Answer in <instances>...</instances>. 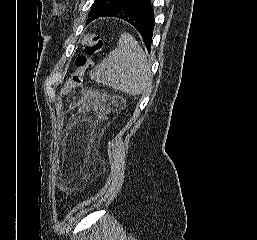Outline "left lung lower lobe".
<instances>
[{
  "mask_svg": "<svg viewBox=\"0 0 257 240\" xmlns=\"http://www.w3.org/2000/svg\"><path fill=\"white\" fill-rule=\"evenodd\" d=\"M101 17H115L131 24L139 32L147 50L150 51L154 29L151 0H120Z\"/></svg>",
  "mask_w": 257,
  "mask_h": 240,
  "instance_id": "0a47b994",
  "label": "left lung lower lobe"
}]
</instances>
